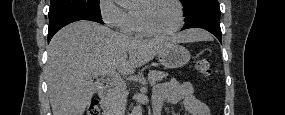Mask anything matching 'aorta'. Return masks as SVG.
Masks as SVG:
<instances>
[{"mask_svg": "<svg viewBox=\"0 0 285 115\" xmlns=\"http://www.w3.org/2000/svg\"><path fill=\"white\" fill-rule=\"evenodd\" d=\"M116 2L122 5L125 3V0H116ZM132 115H142V106L140 104L133 108Z\"/></svg>", "mask_w": 285, "mask_h": 115, "instance_id": "obj_1", "label": "aorta"}]
</instances>
